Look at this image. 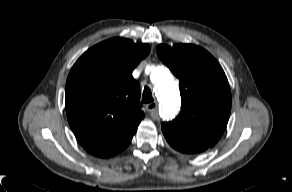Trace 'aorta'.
Masks as SVG:
<instances>
[{
  "instance_id": "762f6f07",
  "label": "aorta",
  "mask_w": 292,
  "mask_h": 192,
  "mask_svg": "<svg viewBox=\"0 0 292 192\" xmlns=\"http://www.w3.org/2000/svg\"><path fill=\"white\" fill-rule=\"evenodd\" d=\"M151 79L160 102L161 116L172 119L180 108V94L170 71L164 66H156L151 72Z\"/></svg>"
}]
</instances>
